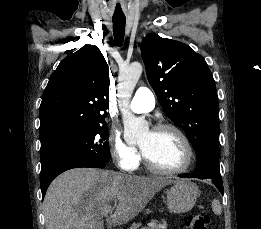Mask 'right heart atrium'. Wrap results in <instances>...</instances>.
Wrapping results in <instances>:
<instances>
[{
	"label": "right heart atrium",
	"mask_w": 261,
	"mask_h": 229,
	"mask_svg": "<svg viewBox=\"0 0 261 229\" xmlns=\"http://www.w3.org/2000/svg\"><path fill=\"white\" fill-rule=\"evenodd\" d=\"M108 141L111 155L121 170L133 172L139 168L141 156L135 146L125 142L118 134L114 133H110Z\"/></svg>",
	"instance_id": "obj_1"
}]
</instances>
